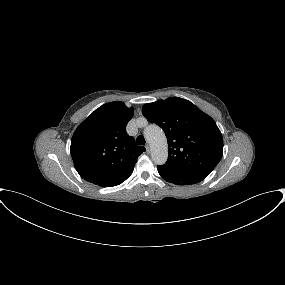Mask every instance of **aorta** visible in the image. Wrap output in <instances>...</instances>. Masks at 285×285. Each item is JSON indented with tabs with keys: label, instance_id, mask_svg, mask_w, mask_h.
<instances>
[{
	"label": "aorta",
	"instance_id": "762f6f07",
	"mask_svg": "<svg viewBox=\"0 0 285 285\" xmlns=\"http://www.w3.org/2000/svg\"><path fill=\"white\" fill-rule=\"evenodd\" d=\"M144 136L151 147V158L154 163L162 165L168 158V144L163 130L155 124L147 126Z\"/></svg>",
	"mask_w": 285,
	"mask_h": 285
}]
</instances>
